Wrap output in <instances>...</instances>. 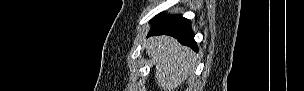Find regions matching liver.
I'll list each match as a JSON object with an SVG mask.
<instances>
[{"mask_svg": "<svg viewBox=\"0 0 304 91\" xmlns=\"http://www.w3.org/2000/svg\"><path fill=\"white\" fill-rule=\"evenodd\" d=\"M146 53L155 65L157 83L164 91H174L192 74L195 53L170 36H155L146 42Z\"/></svg>", "mask_w": 304, "mask_h": 91, "instance_id": "liver-1", "label": "liver"}]
</instances>
